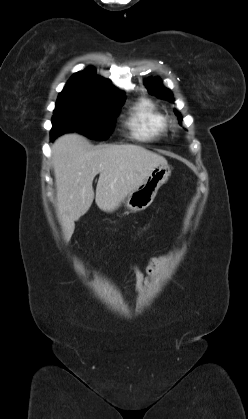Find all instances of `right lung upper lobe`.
<instances>
[{"instance_id":"cb5924a9","label":"right lung upper lobe","mask_w":248,"mask_h":419,"mask_svg":"<svg viewBox=\"0 0 248 419\" xmlns=\"http://www.w3.org/2000/svg\"><path fill=\"white\" fill-rule=\"evenodd\" d=\"M61 93L101 100H114L125 96L124 92L112 86L109 81L97 76L95 70L92 68L75 73Z\"/></svg>"}]
</instances>
